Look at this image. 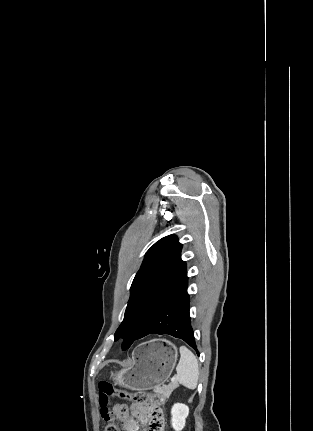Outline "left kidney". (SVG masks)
<instances>
[{"label":"left kidney","mask_w":313,"mask_h":431,"mask_svg":"<svg viewBox=\"0 0 313 431\" xmlns=\"http://www.w3.org/2000/svg\"><path fill=\"white\" fill-rule=\"evenodd\" d=\"M189 414V408L182 403H176L171 409V424L175 431H181L185 427L186 418Z\"/></svg>","instance_id":"1"}]
</instances>
